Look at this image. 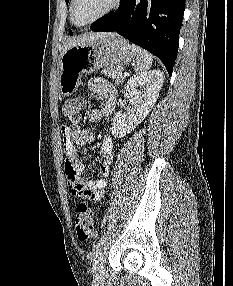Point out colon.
Returning <instances> with one entry per match:
<instances>
[{
    "instance_id": "1",
    "label": "colon",
    "mask_w": 233,
    "mask_h": 286,
    "mask_svg": "<svg viewBox=\"0 0 233 286\" xmlns=\"http://www.w3.org/2000/svg\"><path fill=\"white\" fill-rule=\"evenodd\" d=\"M85 104V100L82 97L70 98L63 104V115L72 123H78L82 118ZM75 228L77 236L81 241H88L95 236L94 210L89 204L80 203L77 206Z\"/></svg>"
}]
</instances>
